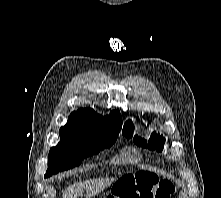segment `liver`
<instances>
[{"instance_id":"liver-1","label":"liver","mask_w":221,"mask_h":198,"mask_svg":"<svg viewBox=\"0 0 221 198\" xmlns=\"http://www.w3.org/2000/svg\"><path fill=\"white\" fill-rule=\"evenodd\" d=\"M114 180V178H99L89 179L83 182H76L68 186V188L63 192L62 197L77 198L82 194L84 189L86 191V196L91 198L110 186Z\"/></svg>"}]
</instances>
